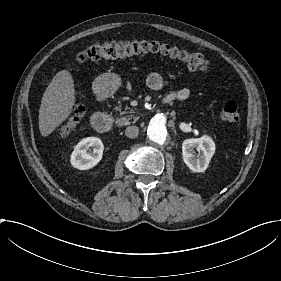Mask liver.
<instances>
[{
	"mask_svg": "<svg viewBox=\"0 0 281 281\" xmlns=\"http://www.w3.org/2000/svg\"><path fill=\"white\" fill-rule=\"evenodd\" d=\"M75 80L69 70L59 71L45 90L39 110V129L48 137L73 113L76 105Z\"/></svg>",
	"mask_w": 281,
	"mask_h": 281,
	"instance_id": "1",
	"label": "liver"
}]
</instances>
